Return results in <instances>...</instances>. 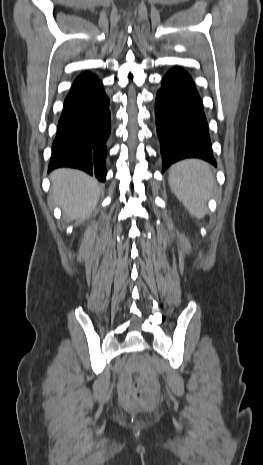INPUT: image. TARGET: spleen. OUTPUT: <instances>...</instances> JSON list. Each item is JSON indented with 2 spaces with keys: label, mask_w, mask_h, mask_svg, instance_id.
Returning a JSON list of instances; mask_svg holds the SVG:
<instances>
[{
  "label": "spleen",
  "mask_w": 263,
  "mask_h": 465,
  "mask_svg": "<svg viewBox=\"0 0 263 465\" xmlns=\"http://www.w3.org/2000/svg\"><path fill=\"white\" fill-rule=\"evenodd\" d=\"M215 181L210 166L198 159H187L174 164L169 172L172 192L196 218L206 213V198Z\"/></svg>",
  "instance_id": "3e777b00"
}]
</instances>
